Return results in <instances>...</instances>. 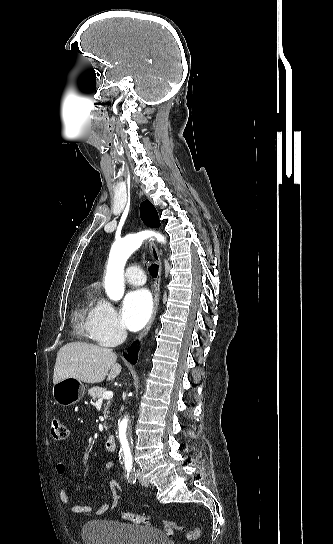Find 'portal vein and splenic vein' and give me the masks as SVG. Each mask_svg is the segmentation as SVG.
<instances>
[{"label": "portal vein and splenic vein", "mask_w": 333, "mask_h": 544, "mask_svg": "<svg viewBox=\"0 0 333 544\" xmlns=\"http://www.w3.org/2000/svg\"><path fill=\"white\" fill-rule=\"evenodd\" d=\"M113 397L112 391H106L104 392L102 398H100L98 401H102L103 399H111Z\"/></svg>", "instance_id": "obj_1"}]
</instances>
